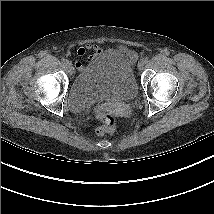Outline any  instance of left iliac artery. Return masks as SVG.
<instances>
[{
  "label": "left iliac artery",
  "instance_id": "left-iliac-artery-1",
  "mask_svg": "<svg viewBox=\"0 0 214 214\" xmlns=\"http://www.w3.org/2000/svg\"><path fill=\"white\" fill-rule=\"evenodd\" d=\"M143 61H144L145 63H148L149 58H148V57H145V58L143 59Z\"/></svg>",
  "mask_w": 214,
  "mask_h": 214
}]
</instances>
